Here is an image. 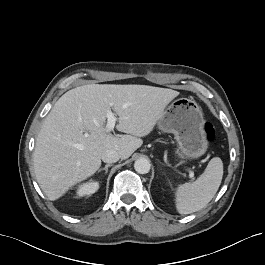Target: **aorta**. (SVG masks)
Masks as SVG:
<instances>
[{
  "label": "aorta",
  "mask_w": 265,
  "mask_h": 265,
  "mask_svg": "<svg viewBox=\"0 0 265 265\" xmlns=\"http://www.w3.org/2000/svg\"><path fill=\"white\" fill-rule=\"evenodd\" d=\"M150 168L151 164L147 158H139L134 163V169L139 174H147Z\"/></svg>",
  "instance_id": "obj_1"
}]
</instances>
